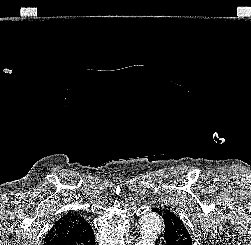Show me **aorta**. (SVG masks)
I'll use <instances>...</instances> for the list:
<instances>
[{"mask_svg": "<svg viewBox=\"0 0 251 245\" xmlns=\"http://www.w3.org/2000/svg\"><path fill=\"white\" fill-rule=\"evenodd\" d=\"M142 237L135 245H155L158 235L163 229L161 218L154 213L145 214L139 221Z\"/></svg>", "mask_w": 251, "mask_h": 245, "instance_id": "762f6f07", "label": "aorta"}]
</instances>
